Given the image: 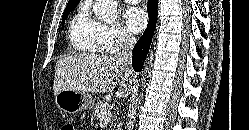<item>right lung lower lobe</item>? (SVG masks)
I'll use <instances>...</instances> for the list:
<instances>
[{"label":"right lung lower lobe","mask_w":249,"mask_h":130,"mask_svg":"<svg viewBox=\"0 0 249 130\" xmlns=\"http://www.w3.org/2000/svg\"><path fill=\"white\" fill-rule=\"evenodd\" d=\"M157 9L158 0H148L147 11L149 15V22L144 34L133 48L132 66L137 72L142 70L145 58L152 42L158 15Z\"/></svg>","instance_id":"right-lung-lower-lobe-1"}]
</instances>
